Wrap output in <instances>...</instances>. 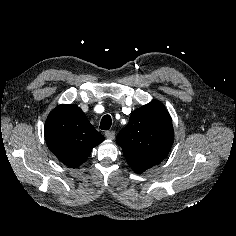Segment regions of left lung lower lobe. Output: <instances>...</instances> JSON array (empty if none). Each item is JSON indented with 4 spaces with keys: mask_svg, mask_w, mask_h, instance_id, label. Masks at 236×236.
I'll return each instance as SVG.
<instances>
[{
    "mask_svg": "<svg viewBox=\"0 0 236 236\" xmlns=\"http://www.w3.org/2000/svg\"><path fill=\"white\" fill-rule=\"evenodd\" d=\"M132 167V169L136 172V173H142L145 170L149 169L150 167L145 166V165H140V164H133L130 165Z\"/></svg>",
    "mask_w": 236,
    "mask_h": 236,
    "instance_id": "0a47b994",
    "label": "left lung lower lobe"
}]
</instances>
